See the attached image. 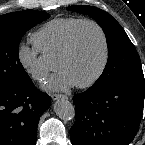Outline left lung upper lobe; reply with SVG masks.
<instances>
[{
	"label": "left lung upper lobe",
	"mask_w": 145,
	"mask_h": 145,
	"mask_svg": "<svg viewBox=\"0 0 145 145\" xmlns=\"http://www.w3.org/2000/svg\"><path fill=\"white\" fill-rule=\"evenodd\" d=\"M87 14L102 27L109 50L105 69L92 88H102L120 82L144 78L139 55L135 46L120 24L107 12L86 5H73L67 8Z\"/></svg>",
	"instance_id": "left-lung-upper-lobe-1"
}]
</instances>
